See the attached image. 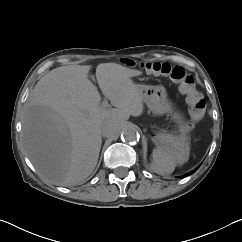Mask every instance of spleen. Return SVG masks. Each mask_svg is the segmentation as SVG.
<instances>
[{
  "instance_id": "3e777b00",
  "label": "spleen",
  "mask_w": 242,
  "mask_h": 242,
  "mask_svg": "<svg viewBox=\"0 0 242 242\" xmlns=\"http://www.w3.org/2000/svg\"><path fill=\"white\" fill-rule=\"evenodd\" d=\"M152 156V168L159 174H171L177 164H182L185 162L184 160L180 159L179 154L160 149H154Z\"/></svg>"
}]
</instances>
